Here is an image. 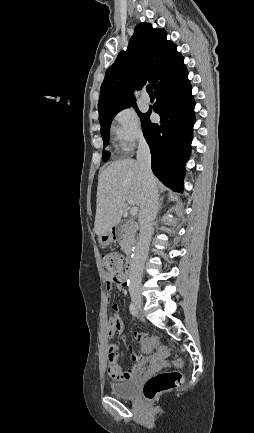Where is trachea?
Here are the masks:
<instances>
[{
	"instance_id": "1",
	"label": "trachea",
	"mask_w": 254,
	"mask_h": 433,
	"mask_svg": "<svg viewBox=\"0 0 254 433\" xmlns=\"http://www.w3.org/2000/svg\"><path fill=\"white\" fill-rule=\"evenodd\" d=\"M146 91H147V93H148L149 95H153V94H154L151 85H147V86H146Z\"/></svg>"
}]
</instances>
